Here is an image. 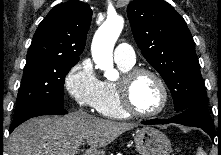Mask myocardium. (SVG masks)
Returning <instances> with one entry per match:
<instances>
[{"mask_svg":"<svg viewBox=\"0 0 221 155\" xmlns=\"http://www.w3.org/2000/svg\"><path fill=\"white\" fill-rule=\"evenodd\" d=\"M141 75H150L158 83L162 92V103L160 107L152 112H141L133 104L131 98V89L138 77ZM117 91L122 109L130 116L140 118H151L160 115L168 106L169 91L164 79L156 71L149 68H132L125 72L117 82Z\"/></svg>","mask_w":221,"mask_h":155,"instance_id":"1","label":"myocardium"}]
</instances>
